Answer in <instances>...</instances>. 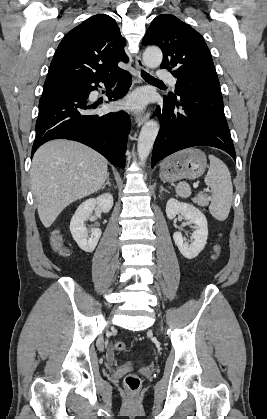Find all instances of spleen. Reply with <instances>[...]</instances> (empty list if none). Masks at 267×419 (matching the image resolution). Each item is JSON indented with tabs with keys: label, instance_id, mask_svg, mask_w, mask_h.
Returning a JSON list of instances; mask_svg holds the SVG:
<instances>
[{
	"label": "spleen",
	"instance_id": "1",
	"mask_svg": "<svg viewBox=\"0 0 267 419\" xmlns=\"http://www.w3.org/2000/svg\"><path fill=\"white\" fill-rule=\"evenodd\" d=\"M210 167L205 176V184L211 188L212 196L207 198L204 192L197 195L201 203L210 201L209 212L219 221H224L229 215L233 201V186L231 175L226 164L214 155H209ZM176 193L182 198L191 195L188 183L180 182L176 187Z\"/></svg>",
	"mask_w": 267,
	"mask_h": 419
}]
</instances>
